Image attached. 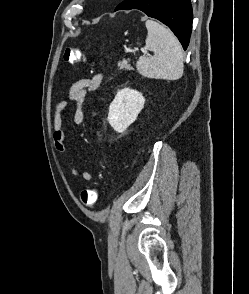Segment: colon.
Masks as SVG:
<instances>
[{
    "mask_svg": "<svg viewBox=\"0 0 249 294\" xmlns=\"http://www.w3.org/2000/svg\"><path fill=\"white\" fill-rule=\"evenodd\" d=\"M83 54L79 48L68 47L64 52V60L69 64H77L82 60ZM98 192L95 189H85L81 192L80 199L83 205L92 206L96 203Z\"/></svg>",
    "mask_w": 249,
    "mask_h": 294,
    "instance_id": "obj_1",
    "label": "colon"
}]
</instances>
